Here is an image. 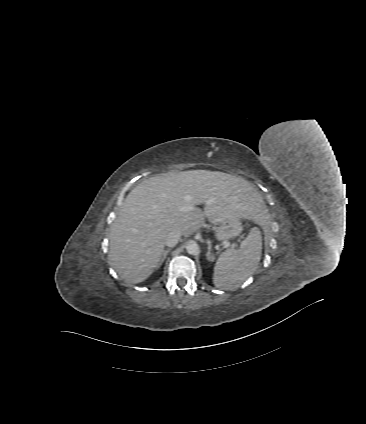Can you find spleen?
Here are the masks:
<instances>
[{
    "label": "spleen",
    "instance_id": "spleen-1",
    "mask_svg": "<svg viewBox=\"0 0 366 424\" xmlns=\"http://www.w3.org/2000/svg\"><path fill=\"white\" fill-rule=\"evenodd\" d=\"M261 252V232L254 227L237 250L229 249L219 256L214 267V285L224 290L238 288L257 269Z\"/></svg>",
    "mask_w": 366,
    "mask_h": 424
}]
</instances>
